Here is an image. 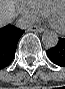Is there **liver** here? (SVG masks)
I'll list each match as a JSON object with an SVG mask.
<instances>
[{
    "instance_id": "1",
    "label": "liver",
    "mask_w": 65,
    "mask_h": 89,
    "mask_svg": "<svg viewBox=\"0 0 65 89\" xmlns=\"http://www.w3.org/2000/svg\"><path fill=\"white\" fill-rule=\"evenodd\" d=\"M15 17V6L12 0H0V22L5 23Z\"/></svg>"
}]
</instances>
